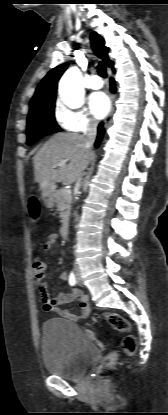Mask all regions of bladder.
Listing matches in <instances>:
<instances>
[{"label":"bladder","instance_id":"1","mask_svg":"<svg viewBox=\"0 0 168 415\" xmlns=\"http://www.w3.org/2000/svg\"><path fill=\"white\" fill-rule=\"evenodd\" d=\"M41 349L46 370L64 379L83 375L97 356V349L81 328L61 318L42 325Z\"/></svg>","mask_w":168,"mask_h":415}]
</instances>
